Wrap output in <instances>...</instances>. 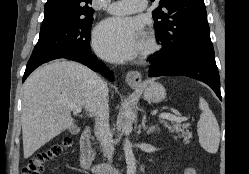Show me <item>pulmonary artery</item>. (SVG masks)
<instances>
[{
	"instance_id": "obj_1",
	"label": "pulmonary artery",
	"mask_w": 249,
	"mask_h": 174,
	"mask_svg": "<svg viewBox=\"0 0 249 174\" xmlns=\"http://www.w3.org/2000/svg\"><path fill=\"white\" fill-rule=\"evenodd\" d=\"M147 0H120L109 5L108 11L116 15H125L145 9Z\"/></svg>"
}]
</instances>
